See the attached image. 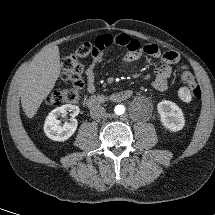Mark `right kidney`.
<instances>
[{
	"label": "right kidney",
	"instance_id": "right-kidney-1",
	"mask_svg": "<svg viewBox=\"0 0 215 215\" xmlns=\"http://www.w3.org/2000/svg\"><path fill=\"white\" fill-rule=\"evenodd\" d=\"M79 107L76 105L66 104L52 110L46 117L44 123V132L48 138L54 141H65L70 138L77 129V120L75 117L79 114ZM70 113L72 118L64 124L58 118Z\"/></svg>",
	"mask_w": 215,
	"mask_h": 215
}]
</instances>
